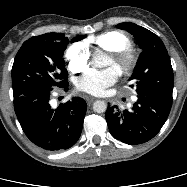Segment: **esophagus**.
<instances>
[{"label":"esophagus","mask_w":187,"mask_h":187,"mask_svg":"<svg viewBox=\"0 0 187 187\" xmlns=\"http://www.w3.org/2000/svg\"><path fill=\"white\" fill-rule=\"evenodd\" d=\"M85 100H86L87 104L90 105L95 101V98L91 97V96H85Z\"/></svg>","instance_id":"1"}]
</instances>
